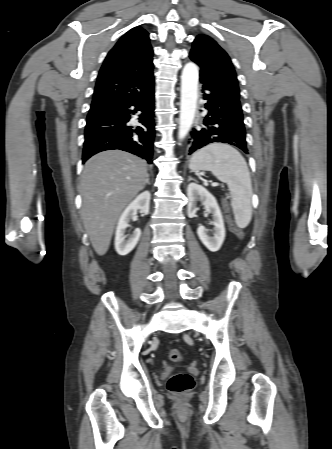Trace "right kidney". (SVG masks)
Returning <instances> with one entry per match:
<instances>
[{"mask_svg":"<svg viewBox=\"0 0 332 449\" xmlns=\"http://www.w3.org/2000/svg\"><path fill=\"white\" fill-rule=\"evenodd\" d=\"M150 198L149 191L141 193L127 206L120 216L115 234V249L119 255L129 254L138 243L141 230L139 228L135 229L128 239H126L125 230L129 226L130 220L137 217V210H140L145 215L149 213Z\"/></svg>","mask_w":332,"mask_h":449,"instance_id":"right-kidney-1","label":"right kidney"}]
</instances>
